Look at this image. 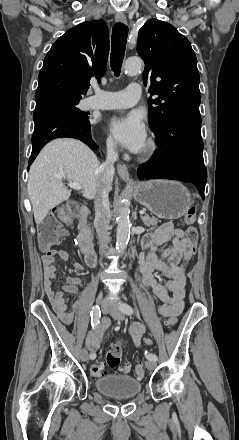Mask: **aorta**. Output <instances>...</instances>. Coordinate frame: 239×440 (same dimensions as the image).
Returning <instances> with one entry per match:
<instances>
[{
	"mask_svg": "<svg viewBox=\"0 0 239 440\" xmlns=\"http://www.w3.org/2000/svg\"><path fill=\"white\" fill-rule=\"evenodd\" d=\"M143 62L139 58H130L125 62V70L129 76H137L138 72L142 70ZM130 234V218L129 208L122 206L119 210L118 226L116 234V248L118 250H125L128 244Z\"/></svg>",
	"mask_w": 239,
	"mask_h": 440,
	"instance_id": "obj_1",
	"label": "aorta"
}]
</instances>
